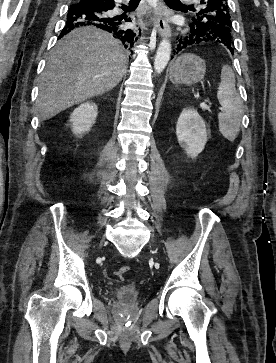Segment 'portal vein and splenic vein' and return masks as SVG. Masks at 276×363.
<instances>
[{"mask_svg": "<svg viewBox=\"0 0 276 363\" xmlns=\"http://www.w3.org/2000/svg\"><path fill=\"white\" fill-rule=\"evenodd\" d=\"M200 107L203 108V109H209L210 108V106L205 101L200 103Z\"/></svg>", "mask_w": 276, "mask_h": 363, "instance_id": "portal-vein-and-splenic-vein-1", "label": "portal vein and splenic vein"}]
</instances>
